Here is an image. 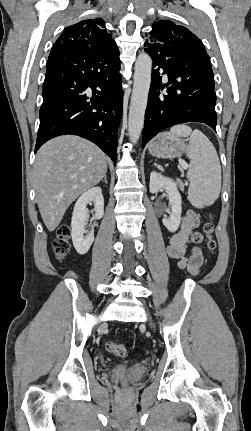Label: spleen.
<instances>
[{"mask_svg": "<svg viewBox=\"0 0 251 431\" xmlns=\"http://www.w3.org/2000/svg\"><path fill=\"white\" fill-rule=\"evenodd\" d=\"M170 134L190 137L187 157L190 166L187 178L190 182L188 199L196 208L212 205L218 199L221 190L220 161L211 141L198 129L185 125H175Z\"/></svg>", "mask_w": 251, "mask_h": 431, "instance_id": "obj_1", "label": "spleen"}]
</instances>
